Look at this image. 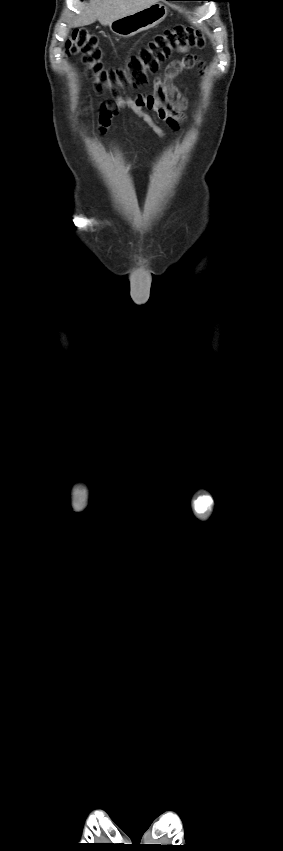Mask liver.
I'll return each instance as SVG.
<instances>
[{
    "mask_svg": "<svg viewBox=\"0 0 283 851\" xmlns=\"http://www.w3.org/2000/svg\"><path fill=\"white\" fill-rule=\"evenodd\" d=\"M158 0H92L90 5L71 23V27L85 26L96 20L110 25L114 20L133 14L157 3Z\"/></svg>",
    "mask_w": 283,
    "mask_h": 851,
    "instance_id": "liver-1",
    "label": "liver"
}]
</instances>
